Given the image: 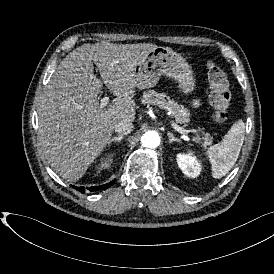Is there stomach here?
Segmentation results:
<instances>
[{
    "label": "stomach",
    "mask_w": 274,
    "mask_h": 274,
    "mask_svg": "<svg viewBox=\"0 0 274 274\" xmlns=\"http://www.w3.org/2000/svg\"><path fill=\"white\" fill-rule=\"evenodd\" d=\"M134 72L140 90L154 87L162 75L174 79L184 94L195 90L196 80L191 66L181 54L169 47L157 46L135 66Z\"/></svg>",
    "instance_id": "obj_1"
}]
</instances>
